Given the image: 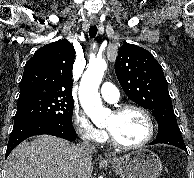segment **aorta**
I'll return each mask as SVG.
<instances>
[{"label":"aorta","mask_w":194,"mask_h":178,"mask_svg":"<svg viewBox=\"0 0 194 178\" xmlns=\"http://www.w3.org/2000/svg\"><path fill=\"white\" fill-rule=\"evenodd\" d=\"M106 67L107 63L104 59L90 62L80 81L79 100L81 106L95 124L103 122L107 113L102 106L98 92Z\"/></svg>","instance_id":"obj_1"}]
</instances>
